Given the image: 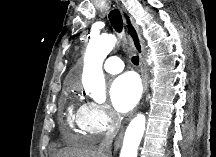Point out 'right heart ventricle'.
I'll list each match as a JSON object with an SVG mask.
<instances>
[{
  "label": "right heart ventricle",
  "instance_id": "e07e8e85",
  "mask_svg": "<svg viewBox=\"0 0 216 157\" xmlns=\"http://www.w3.org/2000/svg\"><path fill=\"white\" fill-rule=\"evenodd\" d=\"M82 108H83V106H80L76 113H74L73 105L69 108L68 122H69L70 126H72L73 123L78 125V116H79V113L82 110Z\"/></svg>",
  "mask_w": 216,
  "mask_h": 157
}]
</instances>
